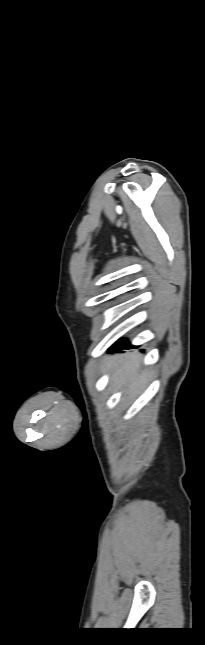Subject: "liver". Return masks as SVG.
I'll list each match as a JSON object with an SVG mask.
<instances>
[{
  "label": "liver",
  "mask_w": 205,
  "mask_h": 645,
  "mask_svg": "<svg viewBox=\"0 0 205 645\" xmlns=\"http://www.w3.org/2000/svg\"><path fill=\"white\" fill-rule=\"evenodd\" d=\"M142 358L134 351L115 354L105 359L103 371L112 372L111 381L118 388L126 387V393L134 396L140 392L148 381L146 370H140Z\"/></svg>",
  "instance_id": "obj_1"
}]
</instances>
